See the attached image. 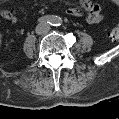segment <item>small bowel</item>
<instances>
[{
  "instance_id": "1",
  "label": "small bowel",
  "mask_w": 119,
  "mask_h": 119,
  "mask_svg": "<svg viewBox=\"0 0 119 119\" xmlns=\"http://www.w3.org/2000/svg\"><path fill=\"white\" fill-rule=\"evenodd\" d=\"M81 8L87 13L86 21L89 24H97L101 21V9L99 5L91 1L83 0L80 2ZM67 13L71 16H79L81 14V9L78 7H71L67 10ZM1 16L12 23L17 21L14 11L4 10L1 12Z\"/></svg>"
}]
</instances>
